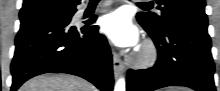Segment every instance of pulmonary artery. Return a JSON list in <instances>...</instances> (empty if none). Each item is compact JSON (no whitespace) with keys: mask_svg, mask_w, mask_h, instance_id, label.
I'll list each match as a JSON object with an SVG mask.
<instances>
[{"mask_svg":"<svg viewBox=\"0 0 220 91\" xmlns=\"http://www.w3.org/2000/svg\"><path fill=\"white\" fill-rule=\"evenodd\" d=\"M110 3V1L103 2V6H108Z\"/></svg>","mask_w":220,"mask_h":91,"instance_id":"obj_1","label":"pulmonary artery"}]
</instances>
